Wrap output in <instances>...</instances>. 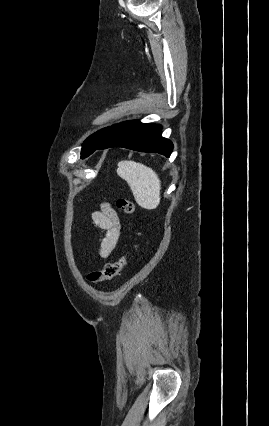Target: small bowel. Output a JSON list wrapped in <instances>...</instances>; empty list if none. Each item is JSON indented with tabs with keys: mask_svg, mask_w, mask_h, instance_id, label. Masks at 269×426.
Returning a JSON list of instances; mask_svg holds the SVG:
<instances>
[{
	"mask_svg": "<svg viewBox=\"0 0 269 426\" xmlns=\"http://www.w3.org/2000/svg\"><path fill=\"white\" fill-rule=\"evenodd\" d=\"M94 224L103 230L98 257L105 260L116 248L122 237V227L116 211L109 204H102L101 209L92 215Z\"/></svg>",
	"mask_w": 269,
	"mask_h": 426,
	"instance_id": "small-bowel-1",
	"label": "small bowel"
}]
</instances>
